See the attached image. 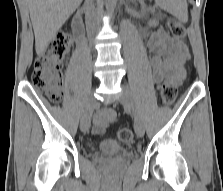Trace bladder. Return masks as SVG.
I'll use <instances>...</instances> for the list:
<instances>
[{"instance_id":"obj_1","label":"bladder","mask_w":223,"mask_h":191,"mask_svg":"<svg viewBox=\"0 0 223 191\" xmlns=\"http://www.w3.org/2000/svg\"><path fill=\"white\" fill-rule=\"evenodd\" d=\"M123 151L122 145L113 139L102 140L98 147V152L102 155H116Z\"/></svg>"}]
</instances>
